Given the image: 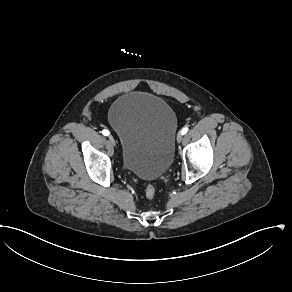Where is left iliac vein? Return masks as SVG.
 I'll list each match as a JSON object with an SVG mask.
<instances>
[{
    "mask_svg": "<svg viewBox=\"0 0 292 292\" xmlns=\"http://www.w3.org/2000/svg\"><path fill=\"white\" fill-rule=\"evenodd\" d=\"M176 140H177L178 143H181L182 140H183V135H182L181 133H179V134L177 135Z\"/></svg>",
    "mask_w": 292,
    "mask_h": 292,
    "instance_id": "obj_1",
    "label": "left iliac vein"
}]
</instances>
